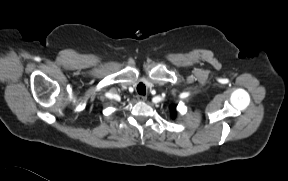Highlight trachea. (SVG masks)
I'll list each match as a JSON object with an SVG mask.
<instances>
[{"label":"trachea","instance_id":"3493384b","mask_svg":"<svg viewBox=\"0 0 288 181\" xmlns=\"http://www.w3.org/2000/svg\"><path fill=\"white\" fill-rule=\"evenodd\" d=\"M137 92L140 95H145L146 94V87H145V85L142 82L137 85Z\"/></svg>","mask_w":288,"mask_h":181}]
</instances>
